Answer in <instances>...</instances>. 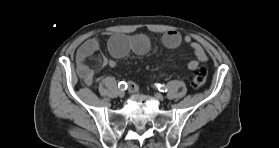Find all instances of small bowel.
<instances>
[{
  "label": "small bowel",
  "mask_w": 279,
  "mask_h": 148,
  "mask_svg": "<svg viewBox=\"0 0 279 148\" xmlns=\"http://www.w3.org/2000/svg\"><path fill=\"white\" fill-rule=\"evenodd\" d=\"M162 42L167 48H176L182 42L189 45L193 50L196 58L189 60L187 66L190 70H194L198 67L199 63L206 62L208 56L200 43L194 41L190 36L182 37L177 31H167L162 36ZM100 49V43L96 38H90L80 45L76 52V71L82 81L91 85L95 78V70L90 67L88 59L96 54ZM108 49L110 54L114 58H121L128 54L130 51L144 55L151 49V40L144 34H137L133 36L117 34L110 37L108 41ZM98 64L103 66H109L114 68L117 66V62L114 59H108L105 56H100ZM129 90L135 92L138 90V84L136 82L128 83Z\"/></svg>",
  "instance_id": "c3829d8e"
}]
</instances>
